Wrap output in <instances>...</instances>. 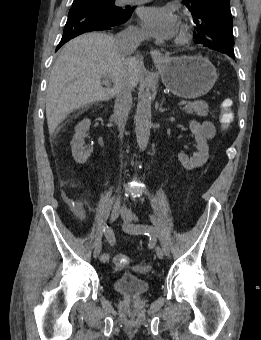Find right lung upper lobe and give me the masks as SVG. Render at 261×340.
I'll return each mask as SVG.
<instances>
[{
  "label": "right lung upper lobe",
  "mask_w": 261,
  "mask_h": 340,
  "mask_svg": "<svg viewBox=\"0 0 261 340\" xmlns=\"http://www.w3.org/2000/svg\"><path fill=\"white\" fill-rule=\"evenodd\" d=\"M85 1H91V0H74L73 3H81V2H85Z\"/></svg>",
  "instance_id": "right-lung-upper-lobe-1"
}]
</instances>
